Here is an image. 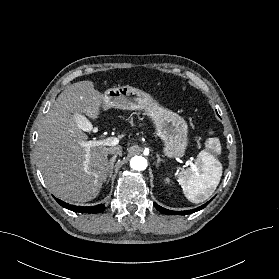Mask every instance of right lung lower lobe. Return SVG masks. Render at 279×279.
<instances>
[{
	"label": "right lung lower lobe",
	"mask_w": 279,
	"mask_h": 279,
	"mask_svg": "<svg viewBox=\"0 0 279 279\" xmlns=\"http://www.w3.org/2000/svg\"><path fill=\"white\" fill-rule=\"evenodd\" d=\"M56 201L62 206L65 207L71 211L74 212H80V213H99L102 212L105 209V206L103 204H99L92 207H83V206H74L69 205L68 203H65L64 201H61L57 198H55Z\"/></svg>",
	"instance_id": "right-lung-lower-lobe-1"
}]
</instances>
